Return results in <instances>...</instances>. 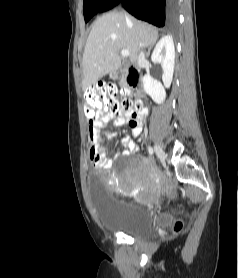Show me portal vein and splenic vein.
<instances>
[{
  "instance_id": "18ae733b",
  "label": "portal vein and splenic vein",
  "mask_w": 238,
  "mask_h": 278,
  "mask_svg": "<svg viewBox=\"0 0 238 278\" xmlns=\"http://www.w3.org/2000/svg\"><path fill=\"white\" fill-rule=\"evenodd\" d=\"M121 56L122 57H128L129 56V51L128 50H121Z\"/></svg>"
}]
</instances>
